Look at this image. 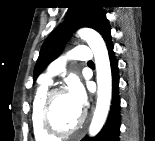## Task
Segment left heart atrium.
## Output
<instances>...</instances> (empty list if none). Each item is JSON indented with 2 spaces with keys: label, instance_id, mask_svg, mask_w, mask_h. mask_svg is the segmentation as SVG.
<instances>
[{
  "label": "left heart atrium",
  "instance_id": "left-heart-atrium-1",
  "mask_svg": "<svg viewBox=\"0 0 155 141\" xmlns=\"http://www.w3.org/2000/svg\"><path fill=\"white\" fill-rule=\"evenodd\" d=\"M67 96L75 108L81 112L86 104V93L83 86L77 81L71 82Z\"/></svg>",
  "mask_w": 155,
  "mask_h": 141
}]
</instances>
